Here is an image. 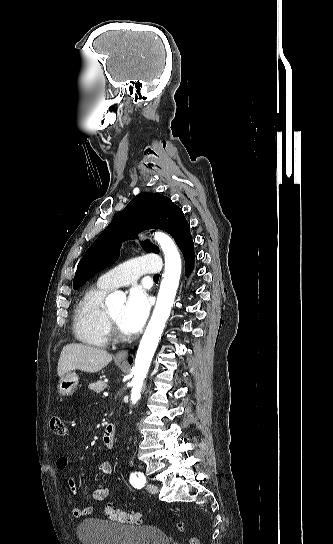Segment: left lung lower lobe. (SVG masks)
I'll return each mask as SVG.
<instances>
[{
    "instance_id": "obj_1",
    "label": "left lung lower lobe",
    "mask_w": 333,
    "mask_h": 544,
    "mask_svg": "<svg viewBox=\"0 0 333 544\" xmlns=\"http://www.w3.org/2000/svg\"><path fill=\"white\" fill-rule=\"evenodd\" d=\"M184 258H185V272L187 273V272H190L192 267H193V262H194V258H195L194 249L187 252L184 255ZM129 361L131 363V360H129Z\"/></svg>"
}]
</instances>
